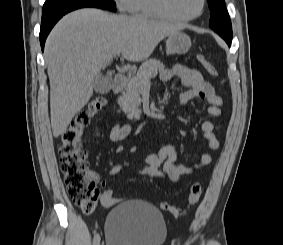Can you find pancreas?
Returning a JSON list of instances; mask_svg holds the SVG:
<instances>
[{
	"label": "pancreas",
	"instance_id": "pancreas-1",
	"mask_svg": "<svg viewBox=\"0 0 283 245\" xmlns=\"http://www.w3.org/2000/svg\"><path fill=\"white\" fill-rule=\"evenodd\" d=\"M164 70L162 62L156 59H148L142 63L136 75L128 81L126 91L119 98V105L129 119H137L141 114L140 93L143 86L150 79Z\"/></svg>",
	"mask_w": 283,
	"mask_h": 245
}]
</instances>
